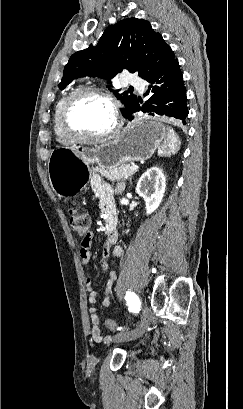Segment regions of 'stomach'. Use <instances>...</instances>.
<instances>
[{
    "mask_svg": "<svg viewBox=\"0 0 243 409\" xmlns=\"http://www.w3.org/2000/svg\"><path fill=\"white\" fill-rule=\"evenodd\" d=\"M166 135V127L155 118L135 119L113 139L94 147H58L48 160L52 189L59 196L78 194L85 188L94 166L117 168L150 158Z\"/></svg>",
    "mask_w": 243,
    "mask_h": 409,
    "instance_id": "0dacf381",
    "label": "stomach"
}]
</instances>
